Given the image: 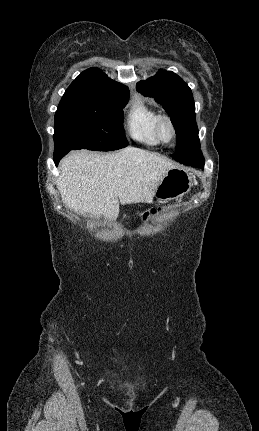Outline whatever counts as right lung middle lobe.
Here are the masks:
<instances>
[{
  "label": "right lung middle lobe",
  "instance_id": "obj_1",
  "mask_svg": "<svg viewBox=\"0 0 259 431\" xmlns=\"http://www.w3.org/2000/svg\"><path fill=\"white\" fill-rule=\"evenodd\" d=\"M129 93L99 97L63 95L55 113V150L111 151L128 145L123 132L122 109Z\"/></svg>",
  "mask_w": 259,
  "mask_h": 431
}]
</instances>
